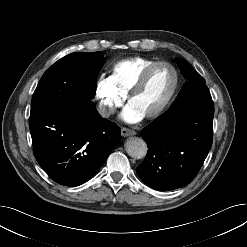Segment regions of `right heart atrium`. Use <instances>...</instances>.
<instances>
[{
  "mask_svg": "<svg viewBox=\"0 0 247 247\" xmlns=\"http://www.w3.org/2000/svg\"><path fill=\"white\" fill-rule=\"evenodd\" d=\"M94 95L98 112L104 118L111 117L125 102V97L116 91L106 77H100L96 80Z\"/></svg>",
  "mask_w": 247,
  "mask_h": 247,
  "instance_id": "obj_1",
  "label": "right heart atrium"
}]
</instances>
